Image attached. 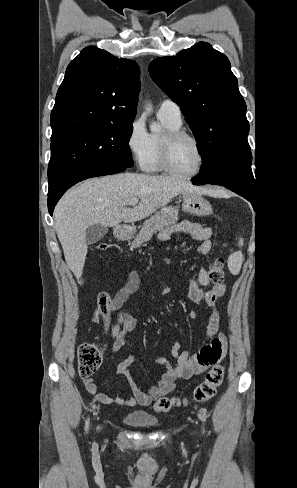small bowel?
Returning a JSON list of instances; mask_svg holds the SVG:
<instances>
[{
	"label": "small bowel",
	"instance_id": "obj_1",
	"mask_svg": "<svg viewBox=\"0 0 297 488\" xmlns=\"http://www.w3.org/2000/svg\"><path fill=\"white\" fill-rule=\"evenodd\" d=\"M174 233H185L199 243V253L206 255L211 250L212 231L209 227L201 226L198 223L183 221L178 224L166 227L158 234L160 241L168 240ZM140 286V278L136 272H132L127 282L121 287L112 299V311H118L126 303L132 294ZM188 297L196 304H204L209 308L206 327V343L193 355L188 351H181V345L174 342L171 345V360L158 356L154 358V363L162 365L164 371L159 382L148 390L141 389L130 375V366L135 358L129 352L126 357L117 365L116 373L123 375L129 384L132 396H111L99 391L98 385L93 377L83 379L86 390L94 395L95 399L102 404H118L128 407L135 405L146 406L154 400L167 395L175 389L176 381L179 378L190 379L204 373L208 368L215 365L222 358L226 347V339L219 334V301L224 294L223 284L217 286L212 283L206 269H200L196 278L188 281ZM93 321L107 322L108 317L101 315L98 311L94 315ZM137 326V319L128 314L122 315V327L114 342V352L118 353L125 338L132 333Z\"/></svg>",
	"mask_w": 297,
	"mask_h": 488
}]
</instances>
